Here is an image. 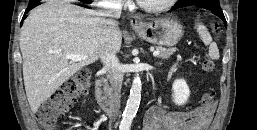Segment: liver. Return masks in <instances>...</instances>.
I'll list each match as a JSON object with an SVG mask.
<instances>
[{
    "mask_svg": "<svg viewBox=\"0 0 257 130\" xmlns=\"http://www.w3.org/2000/svg\"><path fill=\"white\" fill-rule=\"evenodd\" d=\"M92 10L66 2L48 0L33 9L20 32L23 79L32 112L77 71L101 56L103 18ZM110 49L118 53L122 33L109 38ZM85 55L72 62L65 55Z\"/></svg>",
    "mask_w": 257,
    "mask_h": 130,
    "instance_id": "6515ba94",
    "label": "liver"
}]
</instances>
